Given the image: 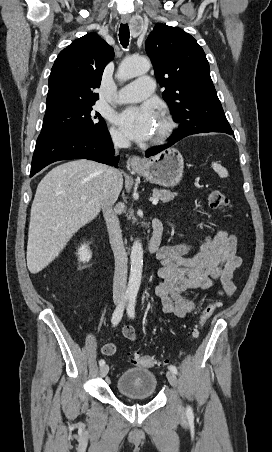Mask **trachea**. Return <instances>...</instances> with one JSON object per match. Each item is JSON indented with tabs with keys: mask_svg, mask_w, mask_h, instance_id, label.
Returning a JSON list of instances; mask_svg holds the SVG:
<instances>
[{
	"mask_svg": "<svg viewBox=\"0 0 272 452\" xmlns=\"http://www.w3.org/2000/svg\"><path fill=\"white\" fill-rule=\"evenodd\" d=\"M130 31L128 24H121L119 29V40L126 47L129 43Z\"/></svg>",
	"mask_w": 272,
	"mask_h": 452,
	"instance_id": "obj_1",
	"label": "trachea"
}]
</instances>
